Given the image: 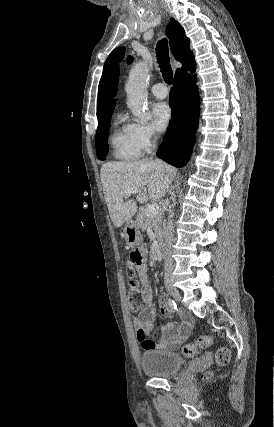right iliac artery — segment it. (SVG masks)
Here are the masks:
<instances>
[{
	"instance_id": "1",
	"label": "right iliac artery",
	"mask_w": 274,
	"mask_h": 427,
	"mask_svg": "<svg viewBox=\"0 0 274 427\" xmlns=\"http://www.w3.org/2000/svg\"><path fill=\"white\" fill-rule=\"evenodd\" d=\"M168 303H169L171 310L173 312H175L177 310V305H176L175 301L173 299L169 298Z\"/></svg>"
}]
</instances>
